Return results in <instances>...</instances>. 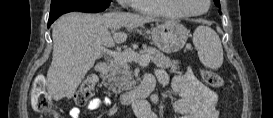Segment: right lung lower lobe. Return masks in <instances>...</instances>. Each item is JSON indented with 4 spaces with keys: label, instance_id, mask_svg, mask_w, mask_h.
<instances>
[{
    "label": "right lung lower lobe",
    "instance_id": "98d812e1",
    "mask_svg": "<svg viewBox=\"0 0 273 118\" xmlns=\"http://www.w3.org/2000/svg\"><path fill=\"white\" fill-rule=\"evenodd\" d=\"M72 11H80V12H101L104 11L99 8H92V7H86V6H81V5H76L72 4L69 2L65 1H60L59 3L51 4V9H50V15H49V20H48V27L62 14L72 12Z\"/></svg>",
    "mask_w": 273,
    "mask_h": 118
}]
</instances>
